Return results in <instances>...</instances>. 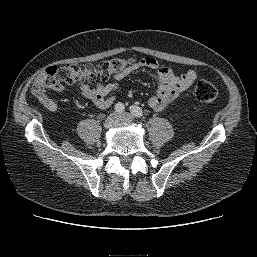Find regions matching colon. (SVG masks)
I'll return each instance as SVG.
<instances>
[{"label": "colon", "instance_id": "colon-1", "mask_svg": "<svg viewBox=\"0 0 257 257\" xmlns=\"http://www.w3.org/2000/svg\"><path fill=\"white\" fill-rule=\"evenodd\" d=\"M139 62L137 59L114 58L98 64H67L61 67L50 66L45 69L34 85V95L48 108L53 106V101L47 95L53 91L59 82L68 85L80 86L103 83L111 76L124 73L130 66ZM194 98L202 103H211L218 96L216 87L208 81H199L193 90Z\"/></svg>", "mask_w": 257, "mask_h": 257}]
</instances>
